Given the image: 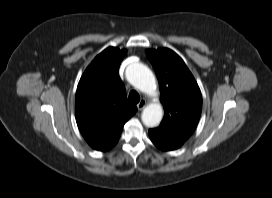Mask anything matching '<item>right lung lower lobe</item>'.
I'll return each mask as SVG.
<instances>
[{
    "label": "right lung lower lobe",
    "instance_id": "1",
    "mask_svg": "<svg viewBox=\"0 0 272 198\" xmlns=\"http://www.w3.org/2000/svg\"><path fill=\"white\" fill-rule=\"evenodd\" d=\"M119 137H120V135L118 137H116L115 140L109 146H107L106 148H104L101 151H106V150H109L110 148H112L118 142Z\"/></svg>",
    "mask_w": 272,
    "mask_h": 198
}]
</instances>
